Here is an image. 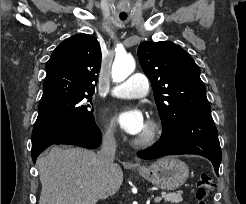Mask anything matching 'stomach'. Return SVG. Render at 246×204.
<instances>
[{
    "mask_svg": "<svg viewBox=\"0 0 246 204\" xmlns=\"http://www.w3.org/2000/svg\"><path fill=\"white\" fill-rule=\"evenodd\" d=\"M139 174L153 185L164 190H175L189 176L188 166L175 157L159 159L149 166L138 169Z\"/></svg>",
    "mask_w": 246,
    "mask_h": 204,
    "instance_id": "1",
    "label": "stomach"
}]
</instances>
